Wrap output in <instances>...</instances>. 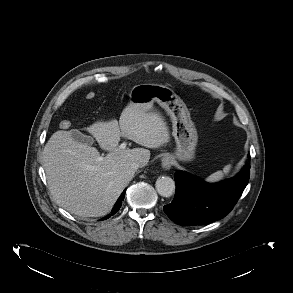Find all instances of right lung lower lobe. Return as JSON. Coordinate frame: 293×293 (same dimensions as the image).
I'll return each instance as SVG.
<instances>
[{
  "instance_id": "1",
  "label": "right lung lower lobe",
  "mask_w": 293,
  "mask_h": 293,
  "mask_svg": "<svg viewBox=\"0 0 293 293\" xmlns=\"http://www.w3.org/2000/svg\"><path fill=\"white\" fill-rule=\"evenodd\" d=\"M124 197H125V191H123V193L121 194V196L119 197V199L115 203V205L111 211V214L107 215L102 220L108 219L109 217H111V215H114L120 209V207L122 205V201L124 200Z\"/></svg>"
}]
</instances>
